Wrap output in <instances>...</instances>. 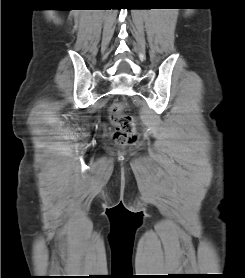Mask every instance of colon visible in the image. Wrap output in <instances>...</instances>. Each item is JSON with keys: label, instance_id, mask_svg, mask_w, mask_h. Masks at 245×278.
Returning a JSON list of instances; mask_svg holds the SVG:
<instances>
[{"label": "colon", "instance_id": "5ec220e1", "mask_svg": "<svg viewBox=\"0 0 245 278\" xmlns=\"http://www.w3.org/2000/svg\"><path fill=\"white\" fill-rule=\"evenodd\" d=\"M127 106L126 102L118 101L110 108V117L117 129L115 140L119 145L126 144L136 137L134 121L130 115L124 113Z\"/></svg>", "mask_w": 245, "mask_h": 278}]
</instances>
